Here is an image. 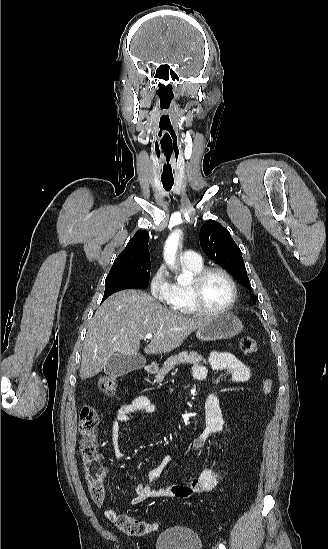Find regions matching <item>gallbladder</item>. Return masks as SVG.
Returning <instances> with one entry per match:
<instances>
[{
  "instance_id": "1",
  "label": "gallbladder",
  "mask_w": 328,
  "mask_h": 549,
  "mask_svg": "<svg viewBox=\"0 0 328 549\" xmlns=\"http://www.w3.org/2000/svg\"><path fill=\"white\" fill-rule=\"evenodd\" d=\"M146 365V359L143 355H117L114 353L112 357L107 359L104 365L105 375L109 377H123V375H128L131 371H138V369H143Z\"/></svg>"
}]
</instances>
